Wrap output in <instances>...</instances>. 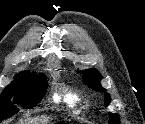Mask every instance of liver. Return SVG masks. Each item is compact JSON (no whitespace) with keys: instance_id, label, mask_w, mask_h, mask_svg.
<instances>
[{"instance_id":"6515ba94","label":"liver","mask_w":145,"mask_h":124,"mask_svg":"<svg viewBox=\"0 0 145 124\" xmlns=\"http://www.w3.org/2000/svg\"><path fill=\"white\" fill-rule=\"evenodd\" d=\"M49 118L41 117V118H30L25 121H20L19 124H47Z\"/></svg>"}]
</instances>
